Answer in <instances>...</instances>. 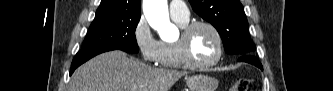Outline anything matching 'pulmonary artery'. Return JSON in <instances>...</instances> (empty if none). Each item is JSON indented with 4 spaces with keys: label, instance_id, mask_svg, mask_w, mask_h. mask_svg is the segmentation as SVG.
<instances>
[{
    "label": "pulmonary artery",
    "instance_id": "pulmonary-artery-1",
    "mask_svg": "<svg viewBox=\"0 0 333 91\" xmlns=\"http://www.w3.org/2000/svg\"><path fill=\"white\" fill-rule=\"evenodd\" d=\"M169 12L174 18L188 19L190 17V12L183 1H172L169 6Z\"/></svg>",
    "mask_w": 333,
    "mask_h": 91
}]
</instances>
